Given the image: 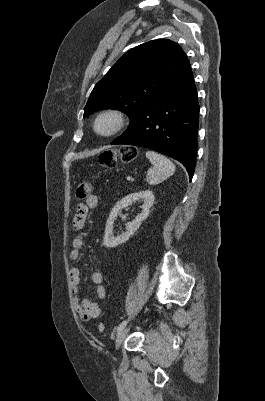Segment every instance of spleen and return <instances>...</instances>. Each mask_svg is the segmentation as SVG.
I'll list each match as a JSON object with an SVG mask.
<instances>
[{
  "instance_id": "1",
  "label": "spleen",
  "mask_w": 265,
  "mask_h": 401,
  "mask_svg": "<svg viewBox=\"0 0 265 401\" xmlns=\"http://www.w3.org/2000/svg\"><path fill=\"white\" fill-rule=\"evenodd\" d=\"M146 156L153 164L147 172L146 180L148 184H159V182H163L165 178L174 174L175 164L163 154H158L154 150H147Z\"/></svg>"
}]
</instances>
